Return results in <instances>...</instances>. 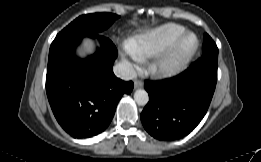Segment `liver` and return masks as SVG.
I'll return each instance as SVG.
<instances>
[{"label":"liver","instance_id":"obj_1","mask_svg":"<svg viewBox=\"0 0 261 162\" xmlns=\"http://www.w3.org/2000/svg\"><path fill=\"white\" fill-rule=\"evenodd\" d=\"M95 51V44L92 40L84 39L82 44L77 48L76 55L80 58L92 54Z\"/></svg>","mask_w":261,"mask_h":162}]
</instances>
